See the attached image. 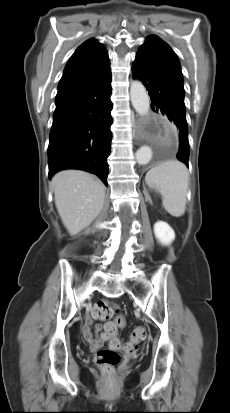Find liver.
<instances>
[{"label":"liver","mask_w":230,"mask_h":413,"mask_svg":"<svg viewBox=\"0 0 230 413\" xmlns=\"http://www.w3.org/2000/svg\"><path fill=\"white\" fill-rule=\"evenodd\" d=\"M52 186L57 211L71 235L89 226L103 208L105 186L87 172H58L52 178Z\"/></svg>","instance_id":"liver-1"}]
</instances>
